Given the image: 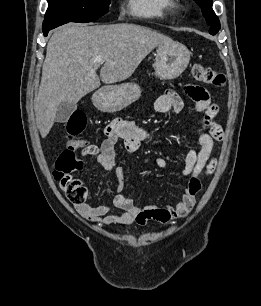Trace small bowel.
I'll return each instance as SVG.
<instances>
[{
  "instance_id": "1",
  "label": "small bowel",
  "mask_w": 261,
  "mask_h": 306,
  "mask_svg": "<svg viewBox=\"0 0 261 306\" xmlns=\"http://www.w3.org/2000/svg\"><path fill=\"white\" fill-rule=\"evenodd\" d=\"M185 92L195 102L196 111L203 114V122L198 128L199 149H189L184 159L182 173L188 178V185L181 199L174 206H138L132 199L120 193L125 180V172L123 167L115 164L116 143L122 140L126 151L131 154L148 141L151 135L147 130L136 126L131 121L114 120L105 128L106 138L95 153L87 150L86 141L82 140L80 144V147L84 148L85 155L96 154L98 163L107 171L114 170L117 178V193L112 204L92 205L88 202L91 198L90 194L84 191V201L76 204V209L83 217L104 225L133 223L145 225L149 221L169 223L184 218L191 212L195 205L196 195L201 188L200 175L210 174L215 168V161L211 158V154L214 141L223 139V130L215 120L218 107L211 102L208 92L202 87L192 85L187 86ZM183 108L184 103L181 96L172 90L165 92L155 102V109L159 113L179 114ZM156 162L160 168L167 167L166 161L161 157ZM114 209H119L120 212L113 213Z\"/></svg>"
}]
</instances>
